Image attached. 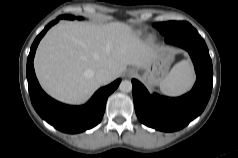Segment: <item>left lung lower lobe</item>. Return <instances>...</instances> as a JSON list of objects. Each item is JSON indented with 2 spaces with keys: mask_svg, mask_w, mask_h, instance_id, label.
Returning <instances> with one entry per match:
<instances>
[{
  "mask_svg": "<svg viewBox=\"0 0 238 158\" xmlns=\"http://www.w3.org/2000/svg\"><path fill=\"white\" fill-rule=\"evenodd\" d=\"M165 42L190 54L197 74L193 89L178 98L150 95L139 81L133 79V100L136 115L143 124L172 132L184 128L203 112L212 91L213 68L205 41L191 25L166 36Z\"/></svg>",
  "mask_w": 238,
  "mask_h": 158,
  "instance_id": "0a47b994",
  "label": "left lung lower lobe"
}]
</instances>
